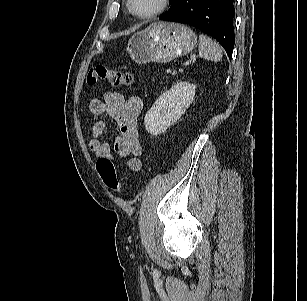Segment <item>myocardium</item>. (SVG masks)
I'll use <instances>...</instances> for the list:
<instances>
[{"mask_svg":"<svg viewBox=\"0 0 307 301\" xmlns=\"http://www.w3.org/2000/svg\"><path fill=\"white\" fill-rule=\"evenodd\" d=\"M169 2L170 0H161L160 5L154 11L147 14H140L133 9L132 0H127V9L130 12V14L133 15L134 17L145 20V19L154 18L162 14L169 6Z\"/></svg>","mask_w":307,"mask_h":301,"instance_id":"1","label":"myocardium"}]
</instances>
